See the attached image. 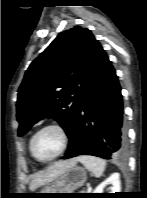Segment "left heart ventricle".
<instances>
[{
    "label": "left heart ventricle",
    "mask_w": 147,
    "mask_h": 198,
    "mask_svg": "<svg viewBox=\"0 0 147 198\" xmlns=\"http://www.w3.org/2000/svg\"><path fill=\"white\" fill-rule=\"evenodd\" d=\"M61 143V136L56 130H44L34 140V153L41 159L50 158L59 151Z\"/></svg>",
    "instance_id": "b2bd125f"
}]
</instances>
